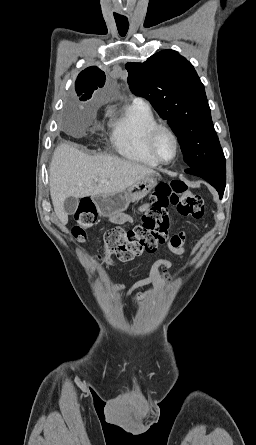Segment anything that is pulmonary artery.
<instances>
[{"label": "pulmonary artery", "mask_w": 256, "mask_h": 445, "mask_svg": "<svg viewBox=\"0 0 256 445\" xmlns=\"http://www.w3.org/2000/svg\"><path fill=\"white\" fill-rule=\"evenodd\" d=\"M135 102H143V100L140 99V98H138V99L135 100ZM143 103H144V102H143Z\"/></svg>", "instance_id": "1"}]
</instances>
